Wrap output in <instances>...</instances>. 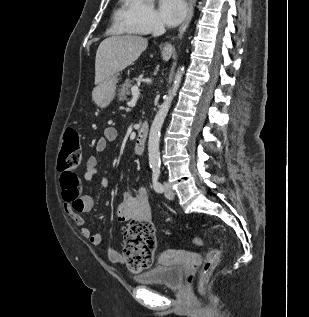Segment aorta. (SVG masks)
I'll return each mask as SVG.
<instances>
[{"mask_svg":"<svg viewBox=\"0 0 309 317\" xmlns=\"http://www.w3.org/2000/svg\"><path fill=\"white\" fill-rule=\"evenodd\" d=\"M183 75V68L178 69L171 90L168 95L165 97L163 104L160 106L157 114L154 117L152 125L150 127L149 132V140H148V156H149V165L151 167H159L160 166V135L161 128L164 123V120L169 111L170 105L176 92L180 86Z\"/></svg>","mask_w":309,"mask_h":317,"instance_id":"obj_1","label":"aorta"}]
</instances>
